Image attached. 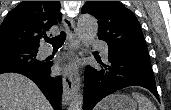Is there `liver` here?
I'll return each mask as SVG.
<instances>
[{"mask_svg": "<svg viewBox=\"0 0 171 110\" xmlns=\"http://www.w3.org/2000/svg\"><path fill=\"white\" fill-rule=\"evenodd\" d=\"M0 110H52L34 82L16 73L0 75Z\"/></svg>", "mask_w": 171, "mask_h": 110, "instance_id": "liver-1", "label": "liver"}]
</instances>
